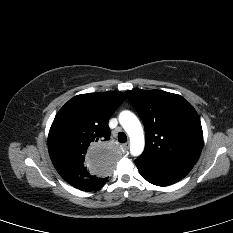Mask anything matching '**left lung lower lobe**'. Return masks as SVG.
Listing matches in <instances>:
<instances>
[{"instance_id": "0a47b994", "label": "left lung lower lobe", "mask_w": 233, "mask_h": 233, "mask_svg": "<svg viewBox=\"0 0 233 233\" xmlns=\"http://www.w3.org/2000/svg\"><path fill=\"white\" fill-rule=\"evenodd\" d=\"M140 174L151 184L168 186L183 179L193 165L185 163H156L142 158L135 160Z\"/></svg>"}]
</instances>
